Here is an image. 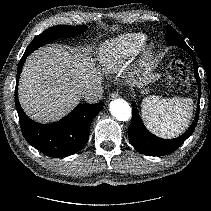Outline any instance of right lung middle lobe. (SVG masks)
Returning <instances> with one entry per match:
<instances>
[{
  "label": "right lung middle lobe",
  "mask_w": 211,
  "mask_h": 211,
  "mask_svg": "<svg viewBox=\"0 0 211 211\" xmlns=\"http://www.w3.org/2000/svg\"><path fill=\"white\" fill-rule=\"evenodd\" d=\"M87 27L82 26H65L58 25L46 29L40 35L36 36L34 40L27 47L25 53L31 54L37 48L52 42L53 40L65 37H71L82 33Z\"/></svg>",
  "instance_id": "dd1d6c3e"
}]
</instances>
